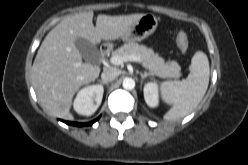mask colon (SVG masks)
Returning <instances> with one entry per match:
<instances>
[{
  "instance_id": "obj_1",
  "label": "colon",
  "mask_w": 248,
  "mask_h": 165,
  "mask_svg": "<svg viewBox=\"0 0 248 165\" xmlns=\"http://www.w3.org/2000/svg\"><path fill=\"white\" fill-rule=\"evenodd\" d=\"M176 43L181 52L185 53L189 48V38L188 35L180 31L176 36Z\"/></svg>"
}]
</instances>
